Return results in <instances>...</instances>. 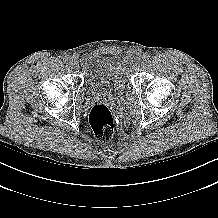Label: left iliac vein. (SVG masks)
Listing matches in <instances>:
<instances>
[{"instance_id": "1", "label": "left iliac vein", "mask_w": 218, "mask_h": 218, "mask_svg": "<svg viewBox=\"0 0 218 218\" xmlns=\"http://www.w3.org/2000/svg\"><path fill=\"white\" fill-rule=\"evenodd\" d=\"M140 62H141V58L139 57V58L135 61V64H136V65H139Z\"/></svg>"}]
</instances>
